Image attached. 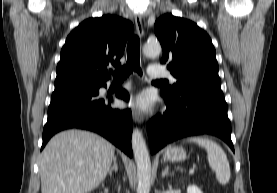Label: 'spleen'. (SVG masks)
<instances>
[{"label": "spleen", "instance_id": "1", "mask_svg": "<svg viewBox=\"0 0 277 193\" xmlns=\"http://www.w3.org/2000/svg\"><path fill=\"white\" fill-rule=\"evenodd\" d=\"M187 141L195 142L205 148L209 166L215 171L217 181L222 185H226L229 182L231 172L224 150L217 143L207 138L191 137Z\"/></svg>", "mask_w": 277, "mask_h": 193}]
</instances>
